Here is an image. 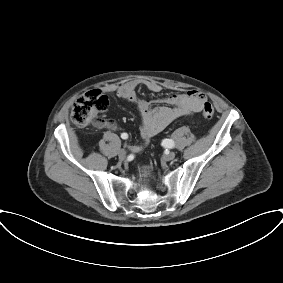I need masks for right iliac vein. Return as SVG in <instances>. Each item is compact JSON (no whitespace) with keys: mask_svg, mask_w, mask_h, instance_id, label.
<instances>
[{"mask_svg":"<svg viewBox=\"0 0 283 283\" xmlns=\"http://www.w3.org/2000/svg\"><path fill=\"white\" fill-rule=\"evenodd\" d=\"M118 156H119L120 159H125L126 156H127L126 150L120 149L119 152H118Z\"/></svg>","mask_w":283,"mask_h":283,"instance_id":"63e3f726","label":"right iliac vein"}]
</instances>
